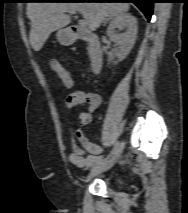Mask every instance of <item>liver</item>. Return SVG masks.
Here are the masks:
<instances>
[{
	"label": "liver",
	"instance_id": "obj_1",
	"mask_svg": "<svg viewBox=\"0 0 188 213\" xmlns=\"http://www.w3.org/2000/svg\"><path fill=\"white\" fill-rule=\"evenodd\" d=\"M129 10L127 3L74 2V3H28L27 17L31 21L30 44L40 51L49 35L70 23L66 14L79 12L89 30L95 31L107 17H114Z\"/></svg>",
	"mask_w": 188,
	"mask_h": 213
}]
</instances>
